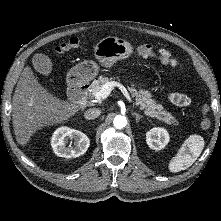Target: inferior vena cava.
I'll return each mask as SVG.
<instances>
[{"label":"inferior vena cava","instance_id":"602c4592","mask_svg":"<svg viewBox=\"0 0 221 221\" xmlns=\"http://www.w3.org/2000/svg\"><path fill=\"white\" fill-rule=\"evenodd\" d=\"M101 114V110L99 108H90L84 113V117L88 120H92L98 118Z\"/></svg>","mask_w":221,"mask_h":221}]
</instances>
